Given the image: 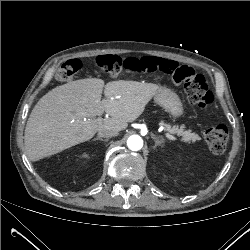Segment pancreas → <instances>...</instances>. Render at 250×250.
I'll return each mask as SVG.
<instances>
[{
	"mask_svg": "<svg viewBox=\"0 0 250 250\" xmlns=\"http://www.w3.org/2000/svg\"><path fill=\"white\" fill-rule=\"evenodd\" d=\"M165 128L168 132L172 134L176 133L177 135L182 136L183 140L186 142H196L200 140V137L196 133H192L191 130H184V127H171L169 124H165Z\"/></svg>",
	"mask_w": 250,
	"mask_h": 250,
	"instance_id": "pancreas-1",
	"label": "pancreas"
}]
</instances>
